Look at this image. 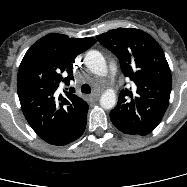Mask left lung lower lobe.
Returning <instances> with one entry per match:
<instances>
[{"label":"left lung lower lobe","mask_w":187,"mask_h":187,"mask_svg":"<svg viewBox=\"0 0 187 187\" xmlns=\"http://www.w3.org/2000/svg\"><path fill=\"white\" fill-rule=\"evenodd\" d=\"M110 119H111L112 123L114 124V126H115L118 130H120L121 132H123V133H125V134H132V135L137 134V133H135V132H133V131L127 129L124 125H122L121 123H119V122H118L117 120H115L113 117L110 116ZM138 135H140V134H138Z\"/></svg>","instance_id":"1"}]
</instances>
